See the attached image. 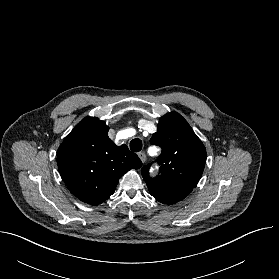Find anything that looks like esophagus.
<instances>
[{
  "mask_svg": "<svg viewBox=\"0 0 279 279\" xmlns=\"http://www.w3.org/2000/svg\"><path fill=\"white\" fill-rule=\"evenodd\" d=\"M138 156H139L140 160L142 161V163H145V161H146V155H145V153L139 152V153H138Z\"/></svg>",
  "mask_w": 279,
  "mask_h": 279,
  "instance_id": "1",
  "label": "esophagus"
}]
</instances>
